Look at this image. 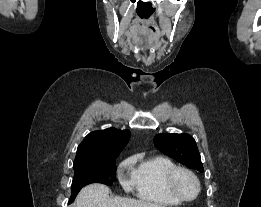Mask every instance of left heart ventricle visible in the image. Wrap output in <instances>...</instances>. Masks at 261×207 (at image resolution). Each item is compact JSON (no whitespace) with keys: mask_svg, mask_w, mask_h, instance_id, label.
<instances>
[{"mask_svg":"<svg viewBox=\"0 0 261 207\" xmlns=\"http://www.w3.org/2000/svg\"><path fill=\"white\" fill-rule=\"evenodd\" d=\"M177 186L180 192L186 197H192L196 193L197 188L194 180L184 173L178 176Z\"/></svg>","mask_w":261,"mask_h":207,"instance_id":"1","label":"left heart ventricle"}]
</instances>
